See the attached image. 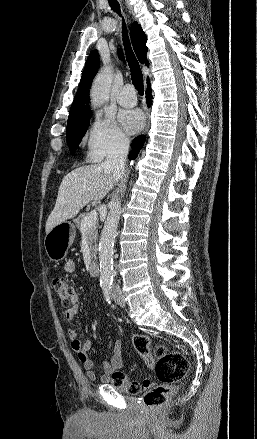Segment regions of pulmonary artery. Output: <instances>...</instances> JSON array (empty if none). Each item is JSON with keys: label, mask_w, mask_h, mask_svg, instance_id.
<instances>
[{"label": "pulmonary artery", "mask_w": 257, "mask_h": 439, "mask_svg": "<svg viewBox=\"0 0 257 439\" xmlns=\"http://www.w3.org/2000/svg\"><path fill=\"white\" fill-rule=\"evenodd\" d=\"M117 101L120 105L125 106V107H132L136 104L137 102V97L136 94L134 92V88L132 85H125L120 93L119 96L117 98Z\"/></svg>", "instance_id": "1"}]
</instances>
